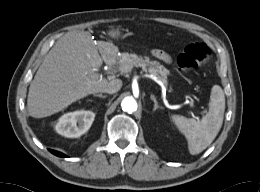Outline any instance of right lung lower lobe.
<instances>
[{"label": "right lung lower lobe", "mask_w": 260, "mask_h": 192, "mask_svg": "<svg viewBox=\"0 0 260 192\" xmlns=\"http://www.w3.org/2000/svg\"><path fill=\"white\" fill-rule=\"evenodd\" d=\"M49 151L51 153H53L54 155L58 156V157H67L65 154H63L61 152H58V151H55V150H51V149H49Z\"/></svg>", "instance_id": "obj_1"}]
</instances>
